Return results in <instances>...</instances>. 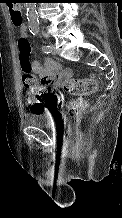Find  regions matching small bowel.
<instances>
[{
	"label": "small bowel",
	"mask_w": 122,
	"mask_h": 218,
	"mask_svg": "<svg viewBox=\"0 0 122 218\" xmlns=\"http://www.w3.org/2000/svg\"><path fill=\"white\" fill-rule=\"evenodd\" d=\"M26 26L19 28V33L26 34ZM32 70L37 75L39 81L54 88H60L65 85L66 81L71 78L72 71L69 68H63L62 65L52 59H46L40 63H32Z\"/></svg>",
	"instance_id": "obj_1"
}]
</instances>
